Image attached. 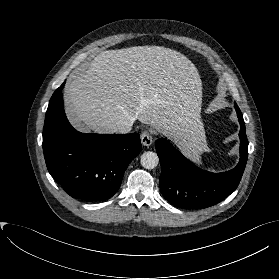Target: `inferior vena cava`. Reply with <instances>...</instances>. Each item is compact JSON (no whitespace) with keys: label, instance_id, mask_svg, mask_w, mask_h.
<instances>
[{"label":"inferior vena cava","instance_id":"obj_1","mask_svg":"<svg viewBox=\"0 0 279 279\" xmlns=\"http://www.w3.org/2000/svg\"><path fill=\"white\" fill-rule=\"evenodd\" d=\"M131 131V126L123 127L119 130V133H128Z\"/></svg>","mask_w":279,"mask_h":279}]
</instances>
